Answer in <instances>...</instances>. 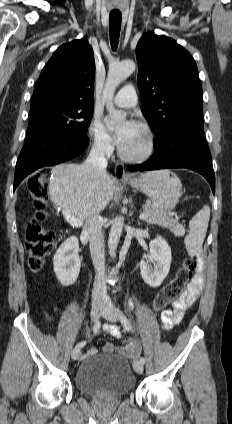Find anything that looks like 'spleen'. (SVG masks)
Listing matches in <instances>:
<instances>
[{"label":"spleen","mask_w":232,"mask_h":424,"mask_svg":"<svg viewBox=\"0 0 232 424\" xmlns=\"http://www.w3.org/2000/svg\"><path fill=\"white\" fill-rule=\"evenodd\" d=\"M210 218V207L205 205L189 222V233L184 243L190 256H194L204 242Z\"/></svg>","instance_id":"spleen-1"}]
</instances>
